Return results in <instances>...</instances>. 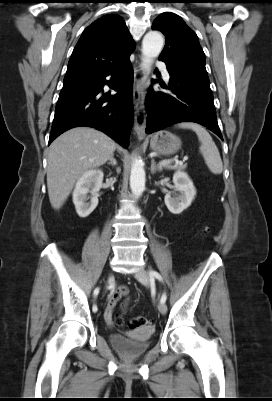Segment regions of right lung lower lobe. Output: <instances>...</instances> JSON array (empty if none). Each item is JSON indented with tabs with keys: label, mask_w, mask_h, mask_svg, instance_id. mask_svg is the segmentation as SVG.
I'll list each match as a JSON object with an SVG mask.
<instances>
[{
	"label": "right lung lower lobe",
	"mask_w": 272,
	"mask_h": 401,
	"mask_svg": "<svg viewBox=\"0 0 272 401\" xmlns=\"http://www.w3.org/2000/svg\"><path fill=\"white\" fill-rule=\"evenodd\" d=\"M107 76H111L112 81L106 80ZM133 78L128 57L97 78L62 89L49 144L68 129L87 126L103 131L126 148L133 123ZM104 85L117 93H103Z\"/></svg>",
	"instance_id": "1"
}]
</instances>
